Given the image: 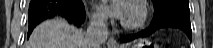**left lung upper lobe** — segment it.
I'll return each mask as SVG.
<instances>
[{
	"label": "left lung upper lobe",
	"instance_id": "obj_1",
	"mask_svg": "<svg viewBox=\"0 0 213 48\" xmlns=\"http://www.w3.org/2000/svg\"><path fill=\"white\" fill-rule=\"evenodd\" d=\"M154 3L155 13H159L164 9L173 8L190 12L188 0H152Z\"/></svg>",
	"mask_w": 213,
	"mask_h": 48
}]
</instances>
